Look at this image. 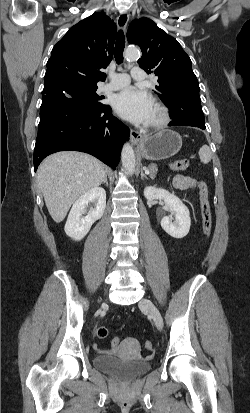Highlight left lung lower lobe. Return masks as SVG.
I'll return each instance as SVG.
<instances>
[{"label":"left lung lower lobe","mask_w":250,"mask_h":413,"mask_svg":"<svg viewBox=\"0 0 250 413\" xmlns=\"http://www.w3.org/2000/svg\"><path fill=\"white\" fill-rule=\"evenodd\" d=\"M200 103L199 95L171 102L168 107L172 119L169 126H195L205 129L204 114Z\"/></svg>","instance_id":"0a47b994"}]
</instances>
